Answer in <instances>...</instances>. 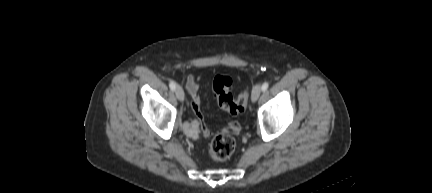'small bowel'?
I'll list each match as a JSON object with an SVG mask.
<instances>
[{"label": "small bowel", "instance_id": "small-bowel-1", "mask_svg": "<svg viewBox=\"0 0 432 193\" xmlns=\"http://www.w3.org/2000/svg\"><path fill=\"white\" fill-rule=\"evenodd\" d=\"M186 87L191 96V108L198 119L202 120L201 113V98L199 95V85L196 78L190 75L187 79ZM203 133L205 136L212 135V132L205 126H202ZM241 127L237 121H230L222 130L225 134H238Z\"/></svg>", "mask_w": 432, "mask_h": 193}]
</instances>
